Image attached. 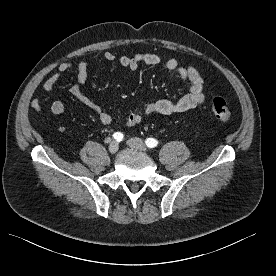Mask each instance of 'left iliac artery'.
<instances>
[{
    "instance_id": "left-iliac-artery-1",
    "label": "left iliac artery",
    "mask_w": 276,
    "mask_h": 276,
    "mask_svg": "<svg viewBox=\"0 0 276 276\" xmlns=\"http://www.w3.org/2000/svg\"><path fill=\"white\" fill-rule=\"evenodd\" d=\"M145 143H146L147 147H149V148H154L158 145V141L154 138H147L145 140Z\"/></svg>"
}]
</instances>
